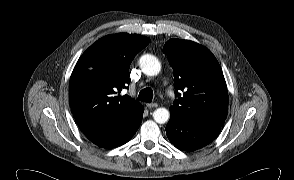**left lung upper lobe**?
I'll return each mask as SVG.
<instances>
[{
	"mask_svg": "<svg viewBox=\"0 0 294 180\" xmlns=\"http://www.w3.org/2000/svg\"><path fill=\"white\" fill-rule=\"evenodd\" d=\"M173 68L175 93L179 98L170 114L189 123H224L228 92L215 56L189 40L170 39L163 47ZM177 90L184 92L183 96Z\"/></svg>",
	"mask_w": 294,
	"mask_h": 180,
	"instance_id": "1",
	"label": "left lung upper lobe"
}]
</instances>
